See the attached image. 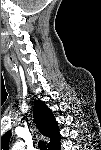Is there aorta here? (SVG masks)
Listing matches in <instances>:
<instances>
[{
	"label": "aorta",
	"instance_id": "1",
	"mask_svg": "<svg viewBox=\"0 0 101 150\" xmlns=\"http://www.w3.org/2000/svg\"><path fill=\"white\" fill-rule=\"evenodd\" d=\"M24 146H25L24 142L18 141L13 145L12 149L13 150H24Z\"/></svg>",
	"mask_w": 101,
	"mask_h": 150
}]
</instances>
